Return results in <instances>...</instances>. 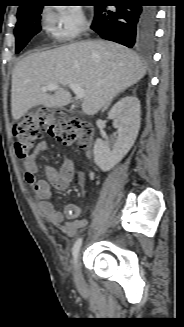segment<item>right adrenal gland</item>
Returning a JSON list of instances; mask_svg holds the SVG:
<instances>
[{
    "label": "right adrenal gland",
    "instance_id": "obj_1",
    "mask_svg": "<svg viewBox=\"0 0 184 327\" xmlns=\"http://www.w3.org/2000/svg\"><path fill=\"white\" fill-rule=\"evenodd\" d=\"M111 102H112V100L109 101V102H108V103L103 107L102 111L106 110V109L108 108V106L110 105Z\"/></svg>",
    "mask_w": 184,
    "mask_h": 327
}]
</instances>
